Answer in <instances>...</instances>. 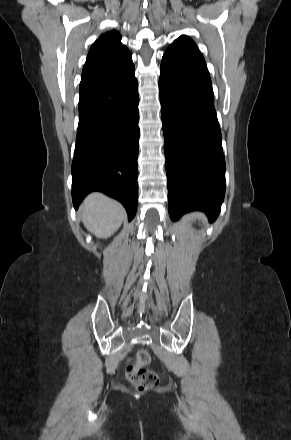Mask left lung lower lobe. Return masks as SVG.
Segmentation results:
<instances>
[{
    "label": "left lung lower lobe",
    "instance_id": "0a47b994",
    "mask_svg": "<svg viewBox=\"0 0 291 440\" xmlns=\"http://www.w3.org/2000/svg\"><path fill=\"white\" fill-rule=\"evenodd\" d=\"M160 71L169 215L178 220L201 210L214 221L225 195V159L207 66L164 54Z\"/></svg>",
    "mask_w": 291,
    "mask_h": 440
}]
</instances>
